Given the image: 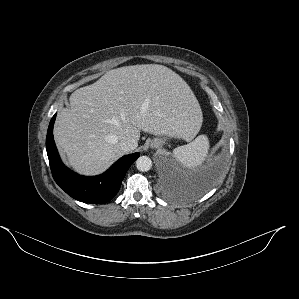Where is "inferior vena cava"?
<instances>
[{
    "label": "inferior vena cava",
    "mask_w": 299,
    "mask_h": 299,
    "mask_svg": "<svg viewBox=\"0 0 299 299\" xmlns=\"http://www.w3.org/2000/svg\"><path fill=\"white\" fill-rule=\"evenodd\" d=\"M138 146V142L132 137H126L120 141V148L124 152H130L136 149Z\"/></svg>",
    "instance_id": "obj_1"
}]
</instances>
